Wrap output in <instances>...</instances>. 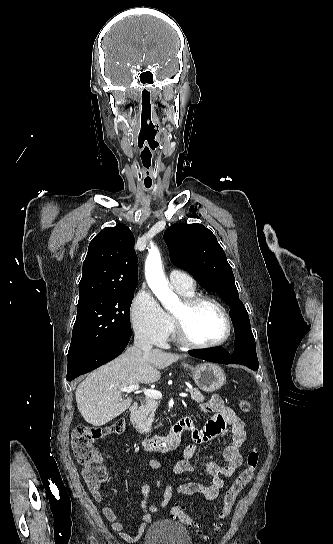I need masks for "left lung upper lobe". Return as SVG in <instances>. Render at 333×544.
<instances>
[{
  "instance_id": "1",
  "label": "left lung upper lobe",
  "mask_w": 333,
  "mask_h": 544,
  "mask_svg": "<svg viewBox=\"0 0 333 544\" xmlns=\"http://www.w3.org/2000/svg\"><path fill=\"white\" fill-rule=\"evenodd\" d=\"M164 239L174 265L190 271L202 287L218 292L230 306L232 320L249 321L226 254L209 229L200 224L176 223L165 231Z\"/></svg>"
}]
</instances>
